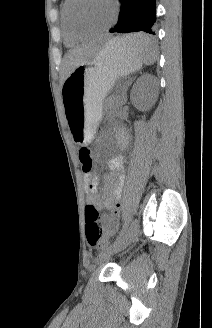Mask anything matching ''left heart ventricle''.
<instances>
[{"instance_id": "1", "label": "left heart ventricle", "mask_w": 212, "mask_h": 328, "mask_svg": "<svg viewBox=\"0 0 212 328\" xmlns=\"http://www.w3.org/2000/svg\"><path fill=\"white\" fill-rule=\"evenodd\" d=\"M72 17L83 27H103L113 17V6L110 0H78L72 8Z\"/></svg>"}]
</instances>
